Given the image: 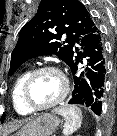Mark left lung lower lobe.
I'll return each instance as SVG.
<instances>
[{"mask_svg": "<svg viewBox=\"0 0 117 136\" xmlns=\"http://www.w3.org/2000/svg\"><path fill=\"white\" fill-rule=\"evenodd\" d=\"M70 70L74 76V90L68 103L90 107L100 115L107 71L106 47L101 31L86 39L83 53L76 58Z\"/></svg>", "mask_w": 117, "mask_h": 136, "instance_id": "left-lung-lower-lobe-1", "label": "left lung lower lobe"}]
</instances>
